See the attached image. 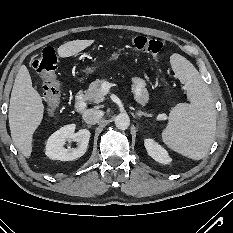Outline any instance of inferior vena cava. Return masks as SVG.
<instances>
[{
	"label": "inferior vena cava",
	"instance_id": "inferior-vena-cava-1",
	"mask_svg": "<svg viewBox=\"0 0 233 233\" xmlns=\"http://www.w3.org/2000/svg\"><path fill=\"white\" fill-rule=\"evenodd\" d=\"M103 116V112L97 109H88L83 112V120L90 125L96 124Z\"/></svg>",
	"mask_w": 233,
	"mask_h": 233
}]
</instances>
